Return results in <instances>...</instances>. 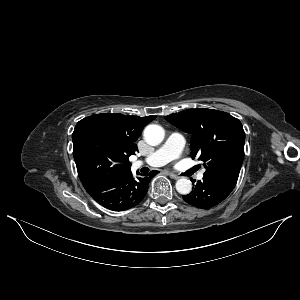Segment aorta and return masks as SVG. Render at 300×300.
<instances>
[{"label": "aorta", "mask_w": 300, "mask_h": 300, "mask_svg": "<svg viewBox=\"0 0 300 300\" xmlns=\"http://www.w3.org/2000/svg\"><path fill=\"white\" fill-rule=\"evenodd\" d=\"M164 129L157 124L148 125L144 130L145 141L152 145L160 144L164 139ZM176 190L182 195H187L192 190V183L189 179L181 178L176 182Z\"/></svg>", "instance_id": "1"}]
</instances>
